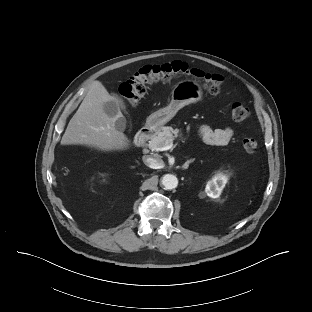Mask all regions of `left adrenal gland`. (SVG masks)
<instances>
[{"label":"left adrenal gland","instance_id":"left-adrenal-gland-1","mask_svg":"<svg viewBox=\"0 0 312 312\" xmlns=\"http://www.w3.org/2000/svg\"><path fill=\"white\" fill-rule=\"evenodd\" d=\"M193 161H194V160H188L187 162H185V164L182 166V169H183V170L188 169L189 164L192 163Z\"/></svg>","mask_w":312,"mask_h":312}]
</instances>
